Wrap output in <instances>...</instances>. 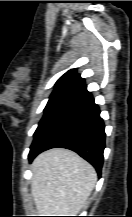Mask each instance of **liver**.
<instances>
[{"label":"liver","instance_id":"obj_1","mask_svg":"<svg viewBox=\"0 0 132 217\" xmlns=\"http://www.w3.org/2000/svg\"><path fill=\"white\" fill-rule=\"evenodd\" d=\"M31 170V194L41 216H76L86 205L97 181L91 164L63 148L39 154Z\"/></svg>","mask_w":132,"mask_h":217}]
</instances>
